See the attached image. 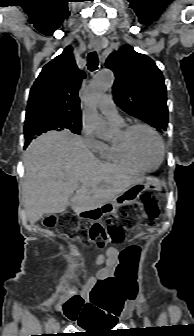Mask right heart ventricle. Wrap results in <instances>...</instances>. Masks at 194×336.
Segmentation results:
<instances>
[{
	"label": "right heart ventricle",
	"mask_w": 194,
	"mask_h": 336,
	"mask_svg": "<svg viewBox=\"0 0 194 336\" xmlns=\"http://www.w3.org/2000/svg\"><path fill=\"white\" fill-rule=\"evenodd\" d=\"M119 126H124V124H118ZM98 155L104 161L113 163L115 165L127 168L131 171L137 173H143L150 171L144 166L137 163L126 151L122 145L120 139L113 142L102 143L100 149L98 150Z\"/></svg>",
	"instance_id": "obj_1"
}]
</instances>
